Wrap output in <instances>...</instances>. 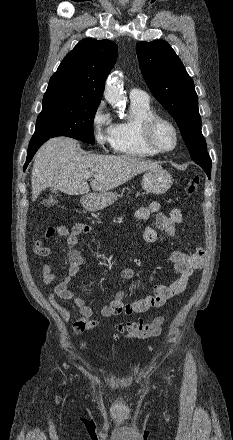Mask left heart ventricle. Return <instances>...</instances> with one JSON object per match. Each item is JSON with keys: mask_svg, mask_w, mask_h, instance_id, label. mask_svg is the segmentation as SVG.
Wrapping results in <instances>:
<instances>
[{"mask_svg": "<svg viewBox=\"0 0 233 440\" xmlns=\"http://www.w3.org/2000/svg\"><path fill=\"white\" fill-rule=\"evenodd\" d=\"M155 144L163 149H169L174 144V134L171 128L164 123H160L154 132Z\"/></svg>", "mask_w": 233, "mask_h": 440, "instance_id": "b2bd125f", "label": "left heart ventricle"}]
</instances>
